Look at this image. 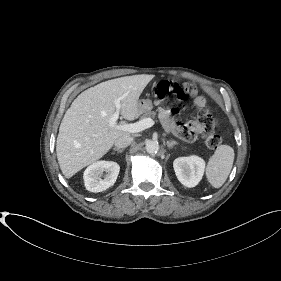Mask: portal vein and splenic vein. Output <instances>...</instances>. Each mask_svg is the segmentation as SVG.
I'll return each instance as SVG.
<instances>
[{
    "label": "portal vein and splenic vein",
    "instance_id": "18ae733b",
    "mask_svg": "<svg viewBox=\"0 0 281 281\" xmlns=\"http://www.w3.org/2000/svg\"><path fill=\"white\" fill-rule=\"evenodd\" d=\"M123 98L124 97H120V98L115 99V101H114L116 111L112 115V117L110 118V124L112 126H114L116 124V121L119 118L120 108H121V100ZM154 123L155 122L153 121V119L145 118V119H142V120H140L136 123H125V124L119 125L118 128H120L124 131L130 132V133H137V132H141V131H143L147 128L152 127L154 125Z\"/></svg>",
    "mask_w": 281,
    "mask_h": 281
}]
</instances>
